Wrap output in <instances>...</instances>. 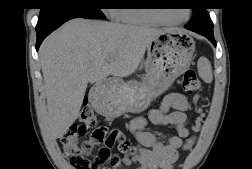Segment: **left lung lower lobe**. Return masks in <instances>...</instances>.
I'll list each match as a JSON object with an SVG mask.
<instances>
[{
    "instance_id": "1",
    "label": "left lung lower lobe",
    "mask_w": 252,
    "mask_h": 169,
    "mask_svg": "<svg viewBox=\"0 0 252 169\" xmlns=\"http://www.w3.org/2000/svg\"><path fill=\"white\" fill-rule=\"evenodd\" d=\"M185 28H186V27H185ZM186 29H187V28H186ZM188 30H189V29H188ZM194 32H197V31H194ZM197 33L206 36V37L214 44V46H216V42H215V39H214L213 34L204 33V32H202V31H198Z\"/></svg>"
}]
</instances>
